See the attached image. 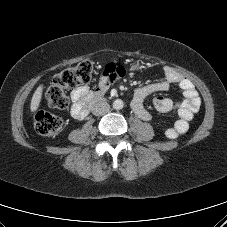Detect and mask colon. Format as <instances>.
I'll use <instances>...</instances> for the list:
<instances>
[{
    "mask_svg": "<svg viewBox=\"0 0 227 227\" xmlns=\"http://www.w3.org/2000/svg\"><path fill=\"white\" fill-rule=\"evenodd\" d=\"M92 73L93 64L90 61H82L56 74L46 90L48 105L55 109H66L69 106L67 90L87 84ZM34 125L39 134L53 136L60 131L62 120L39 106L35 112Z\"/></svg>",
    "mask_w": 227,
    "mask_h": 227,
    "instance_id": "obj_1",
    "label": "colon"
}]
</instances>
